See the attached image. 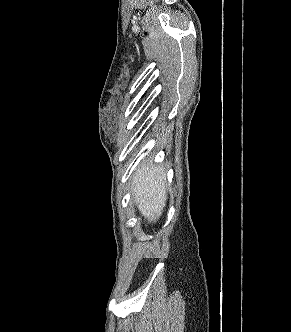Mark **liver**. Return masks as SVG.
<instances>
[{"label": "liver", "mask_w": 291, "mask_h": 332, "mask_svg": "<svg viewBox=\"0 0 291 332\" xmlns=\"http://www.w3.org/2000/svg\"><path fill=\"white\" fill-rule=\"evenodd\" d=\"M133 198L140 213L149 222H156L166 206V176L164 169L143 162L133 174Z\"/></svg>", "instance_id": "6515ba94"}]
</instances>
